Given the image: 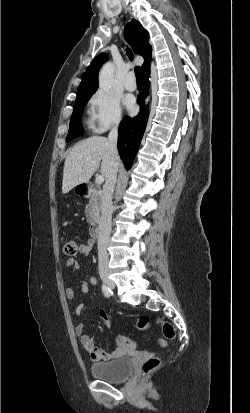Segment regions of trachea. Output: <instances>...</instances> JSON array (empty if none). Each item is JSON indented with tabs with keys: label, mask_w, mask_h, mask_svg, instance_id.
<instances>
[{
	"label": "trachea",
	"mask_w": 250,
	"mask_h": 413,
	"mask_svg": "<svg viewBox=\"0 0 250 413\" xmlns=\"http://www.w3.org/2000/svg\"><path fill=\"white\" fill-rule=\"evenodd\" d=\"M127 55L129 56L130 59H133V54H132V52L130 51V49H127ZM134 72H135V75H136V82H137V83H142V71H141V68H140L139 66H136V67L134 68Z\"/></svg>",
	"instance_id": "trachea-1"
}]
</instances>
